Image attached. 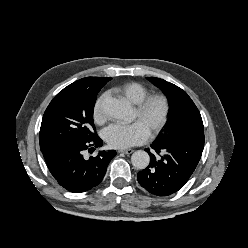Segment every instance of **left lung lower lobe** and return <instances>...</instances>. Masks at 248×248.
I'll use <instances>...</instances> for the list:
<instances>
[{
	"label": "left lung lower lobe",
	"instance_id": "0a47b994",
	"mask_svg": "<svg viewBox=\"0 0 248 248\" xmlns=\"http://www.w3.org/2000/svg\"><path fill=\"white\" fill-rule=\"evenodd\" d=\"M204 148V142L191 139H177L168 142L154 141L150 155V164L138 172L139 184L149 193L168 196L188 181L194 172ZM160 157H156V155Z\"/></svg>",
	"mask_w": 248,
	"mask_h": 248
}]
</instances>
